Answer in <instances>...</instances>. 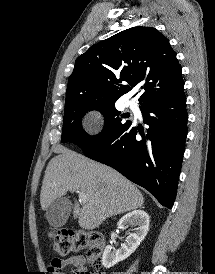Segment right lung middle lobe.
<instances>
[{"instance_id": "obj_1", "label": "right lung middle lobe", "mask_w": 215, "mask_h": 274, "mask_svg": "<svg viewBox=\"0 0 215 274\" xmlns=\"http://www.w3.org/2000/svg\"><path fill=\"white\" fill-rule=\"evenodd\" d=\"M115 102H78L65 105L62 142H72L80 148L87 150L107 141L114 134L128 126L131 122L124 121L114 106ZM91 110H98L105 119L101 133L96 136L88 135L81 127V118Z\"/></svg>"}]
</instances>
